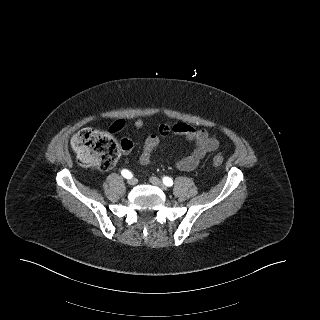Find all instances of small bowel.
<instances>
[{
  "label": "small bowel",
  "mask_w": 320,
  "mask_h": 320,
  "mask_svg": "<svg viewBox=\"0 0 320 320\" xmlns=\"http://www.w3.org/2000/svg\"><path fill=\"white\" fill-rule=\"evenodd\" d=\"M114 124L119 125V129L117 130L119 131L122 127V123L117 122ZM134 127L138 130L142 129L144 127V121L141 119L136 120L134 122ZM158 133L161 136H167L171 133L182 135L189 141L195 143L193 151L176 162V167L181 171L194 170L207 153L215 151L219 146V140L215 134L186 123L162 124L158 128ZM159 143L160 138L156 134L148 135L145 138L143 151L139 158L141 165L147 166L152 162L153 153Z\"/></svg>",
  "instance_id": "1"
}]
</instances>
